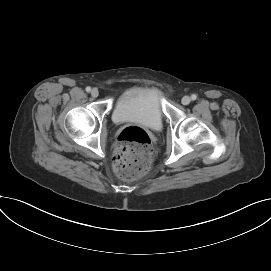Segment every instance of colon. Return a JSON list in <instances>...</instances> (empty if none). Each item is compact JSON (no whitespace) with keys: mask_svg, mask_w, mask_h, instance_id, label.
Here are the masks:
<instances>
[{"mask_svg":"<svg viewBox=\"0 0 271 271\" xmlns=\"http://www.w3.org/2000/svg\"><path fill=\"white\" fill-rule=\"evenodd\" d=\"M151 139L147 131L141 127L130 126L119 135L112 167L123 179H133L143 175L151 160Z\"/></svg>","mask_w":271,"mask_h":271,"instance_id":"1","label":"colon"}]
</instances>
